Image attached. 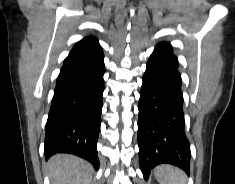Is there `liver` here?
Returning a JSON list of instances; mask_svg holds the SVG:
<instances>
[{"instance_id": "obj_1", "label": "liver", "mask_w": 235, "mask_h": 184, "mask_svg": "<svg viewBox=\"0 0 235 184\" xmlns=\"http://www.w3.org/2000/svg\"><path fill=\"white\" fill-rule=\"evenodd\" d=\"M92 166L69 154H56L48 162L47 174L51 184H90Z\"/></svg>"}]
</instances>
